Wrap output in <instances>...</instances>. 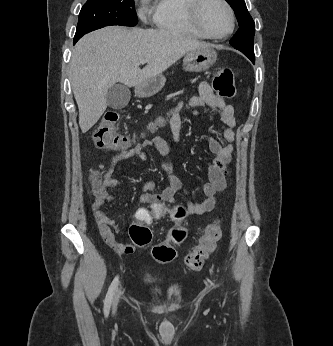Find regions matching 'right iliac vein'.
I'll list each match as a JSON object with an SVG mask.
<instances>
[{
	"label": "right iliac vein",
	"mask_w": 333,
	"mask_h": 346,
	"mask_svg": "<svg viewBox=\"0 0 333 346\" xmlns=\"http://www.w3.org/2000/svg\"><path fill=\"white\" fill-rule=\"evenodd\" d=\"M120 296H121V289H118V290L116 291L115 295H114V300H113L114 312H115L116 309H117Z\"/></svg>",
	"instance_id": "1"
}]
</instances>
